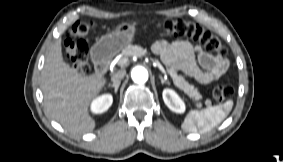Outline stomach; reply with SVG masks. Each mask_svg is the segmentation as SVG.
Returning <instances> with one entry per match:
<instances>
[{"label": "stomach", "mask_w": 283, "mask_h": 162, "mask_svg": "<svg viewBox=\"0 0 283 162\" xmlns=\"http://www.w3.org/2000/svg\"><path fill=\"white\" fill-rule=\"evenodd\" d=\"M135 33V23H119L111 33L102 36L96 42L92 51L99 59L109 58L129 46L134 40Z\"/></svg>", "instance_id": "stomach-1"}]
</instances>
